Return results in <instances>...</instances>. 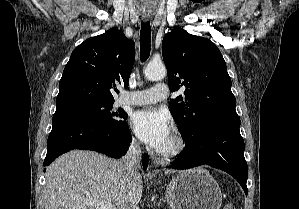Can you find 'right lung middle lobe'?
I'll return each instance as SVG.
<instances>
[{
  "instance_id": "obj_1",
  "label": "right lung middle lobe",
  "mask_w": 299,
  "mask_h": 209,
  "mask_svg": "<svg viewBox=\"0 0 299 209\" xmlns=\"http://www.w3.org/2000/svg\"><path fill=\"white\" fill-rule=\"evenodd\" d=\"M113 102H68L56 105L57 113H71L96 124L118 127L125 123L127 114L123 110L112 112Z\"/></svg>"
}]
</instances>
